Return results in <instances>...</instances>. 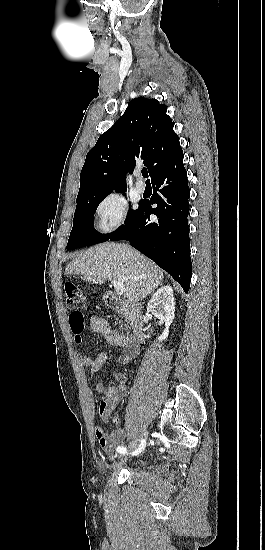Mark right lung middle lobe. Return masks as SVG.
Returning <instances> with one entry per match:
<instances>
[{
  "instance_id": "dd1d6c3e",
  "label": "right lung middle lobe",
  "mask_w": 265,
  "mask_h": 550,
  "mask_svg": "<svg viewBox=\"0 0 265 550\" xmlns=\"http://www.w3.org/2000/svg\"><path fill=\"white\" fill-rule=\"evenodd\" d=\"M125 192V191H124ZM101 195L92 198H77V207L74 214L73 228L67 244V250L85 247L107 241L116 231L110 234H101L94 229V213L99 203L107 196ZM137 210L129 209L125 223L127 224L137 213Z\"/></svg>"
}]
</instances>
